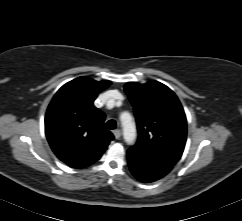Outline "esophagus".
I'll use <instances>...</instances> for the list:
<instances>
[{
    "label": "esophagus",
    "mask_w": 242,
    "mask_h": 221,
    "mask_svg": "<svg viewBox=\"0 0 242 221\" xmlns=\"http://www.w3.org/2000/svg\"><path fill=\"white\" fill-rule=\"evenodd\" d=\"M113 134H114L116 139H120V137H121V131L120 130H114Z\"/></svg>",
    "instance_id": "1"
}]
</instances>
